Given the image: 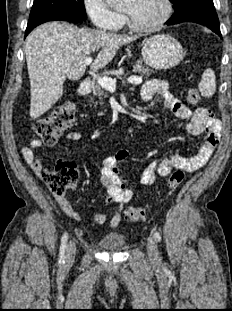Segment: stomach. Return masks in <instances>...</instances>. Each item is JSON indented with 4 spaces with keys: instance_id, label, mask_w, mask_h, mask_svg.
I'll use <instances>...</instances> for the list:
<instances>
[{
    "instance_id": "0dacf381",
    "label": "stomach",
    "mask_w": 232,
    "mask_h": 311,
    "mask_svg": "<svg viewBox=\"0 0 232 311\" xmlns=\"http://www.w3.org/2000/svg\"><path fill=\"white\" fill-rule=\"evenodd\" d=\"M184 57L181 44L173 37L158 34L142 43V58L151 68L165 70L178 65Z\"/></svg>"
}]
</instances>
